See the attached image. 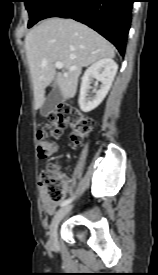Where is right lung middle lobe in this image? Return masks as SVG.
<instances>
[{
    "label": "right lung middle lobe",
    "mask_w": 158,
    "mask_h": 275,
    "mask_svg": "<svg viewBox=\"0 0 158 275\" xmlns=\"http://www.w3.org/2000/svg\"><path fill=\"white\" fill-rule=\"evenodd\" d=\"M56 1L57 0H24L26 9L29 12L28 28L32 27L34 24L40 21L45 12Z\"/></svg>",
    "instance_id": "dd1d6c3e"
}]
</instances>
